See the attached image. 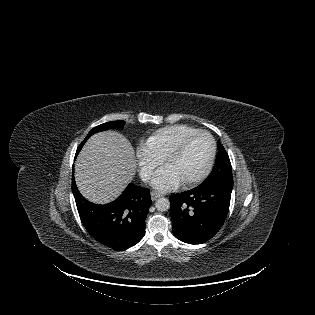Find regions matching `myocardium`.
Wrapping results in <instances>:
<instances>
[{"instance_id":"f54148a6","label":"myocardium","mask_w":315,"mask_h":315,"mask_svg":"<svg viewBox=\"0 0 315 315\" xmlns=\"http://www.w3.org/2000/svg\"><path fill=\"white\" fill-rule=\"evenodd\" d=\"M199 134H204L209 138L210 141V154H209V158L208 161L204 167V169L202 170V172L189 179L186 181H182V184L185 186H192L195 185L197 183H200L201 181H203L208 174L211 171V168L213 166L214 160H215V156H216V143L215 140L213 138V136L205 130H196L192 133L187 134L186 136H184L183 138H181L178 143L166 154V156L163 159L164 164L167 166L168 162L170 160H172L173 158H175L176 156H178L184 149V147L186 146V144L196 135Z\"/></svg>"}]
</instances>
